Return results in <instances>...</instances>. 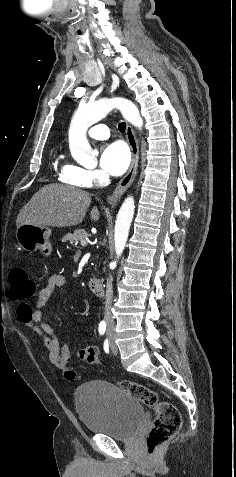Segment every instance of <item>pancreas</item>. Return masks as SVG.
Wrapping results in <instances>:
<instances>
[{
  "mask_svg": "<svg viewBox=\"0 0 236 477\" xmlns=\"http://www.w3.org/2000/svg\"><path fill=\"white\" fill-rule=\"evenodd\" d=\"M90 235L84 230V229H79L75 230L74 233H69L66 234L63 237L64 242H69L70 244H75L78 243L81 240H86L88 239Z\"/></svg>",
  "mask_w": 236,
  "mask_h": 477,
  "instance_id": "cf45deb5",
  "label": "pancreas"
}]
</instances>
